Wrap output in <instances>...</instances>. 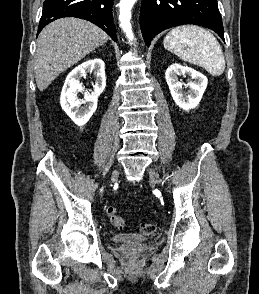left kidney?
<instances>
[{"mask_svg":"<svg viewBox=\"0 0 259 294\" xmlns=\"http://www.w3.org/2000/svg\"><path fill=\"white\" fill-rule=\"evenodd\" d=\"M180 75H190L193 79L188 83L190 90L187 93L183 92V83L178 80ZM165 78L176 105L185 111L198 106L208 84L207 78L200 72L176 63L167 68Z\"/></svg>","mask_w":259,"mask_h":294,"instance_id":"1","label":"left kidney"}]
</instances>
